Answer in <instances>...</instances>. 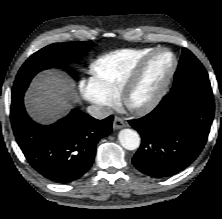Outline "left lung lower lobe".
I'll return each mask as SVG.
<instances>
[{
    "mask_svg": "<svg viewBox=\"0 0 222 219\" xmlns=\"http://www.w3.org/2000/svg\"><path fill=\"white\" fill-rule=\"evenodd\" d=\"M214 111L212 94L171 90L152 112L129 121L142 137L134 166L151 177L171 176L188 167L207 141Z\"/></svg>",
    "mask_w": 222,
    "mask_h": 219,
    "instance_id": "obj_1",
    "label": "left lung lower lobe"
}]
</instances>
